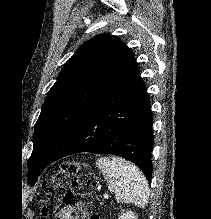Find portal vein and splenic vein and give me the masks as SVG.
Returning <instances> with one entry per match:
<instances>
[{"label": "portal vein and splenic vein", "mask_w": 211, "mask_h": 219, "mask_svg": "<svg viewBox=\"0 0 211 219\" xmlns=\"http://www.w3.org/2000/svg\"><path fill=\"white\" fill-rule=\"evenodd\" d=\"M104 197H105V198H108V194H104Z\"/></svg>", "instance_id": "obj_1"}]
</instances>
